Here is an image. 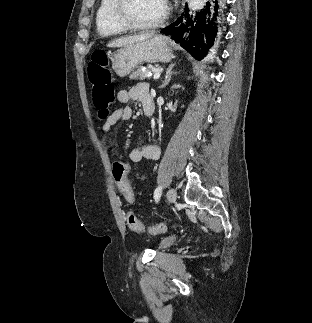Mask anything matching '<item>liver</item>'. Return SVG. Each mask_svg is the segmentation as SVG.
I'll return each instance as SVG.
<instances>
[{"label": "liver", "mask_w": 312, "mask_h": 323, "mask_svg": "<svg viewBox=\"0 0 312 323\" xmlns=\"http://www.w3.org/2000/svg\"><path fill=\"white\" fill-rule=\"evenodd\" d=\"M153 36L154 34H133V36H124V38L112 40L110 44H107V48H123V46H128V44H133V42L149 40V38H153Z\"/></svg>", "instance_id": "liver-1"}]
</instances>
